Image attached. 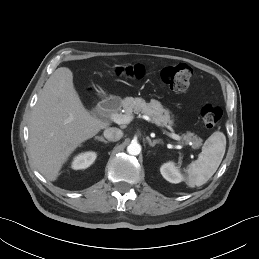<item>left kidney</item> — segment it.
Masks as SVG:
<instances>
[{
  "instance_id": "left-kidney-1",
  "label": "left kidney",
  "mask_w": 259,
  "mask_h": 259,
  "mask_svg": "<svg viewBox=\"0 0 259 259\" xmlns=\"http://www.w3.org/2000/svg\"><path fill=\"white\" fill-rule=\"evenodd\" d=\"M162 176L170 183H180L183 181L184 177L179 172L178 168L173 162H167L163 164L160 168Z\"/></svg>"
}]
</instances>
